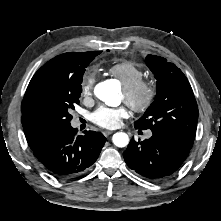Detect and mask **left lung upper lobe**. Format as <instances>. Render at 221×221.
I'll list each match as a JSON object with an SVG mask.
<instances>
[{
    "label": "left lung upper lobe",
    "instance_id": "obj_1",
    "mask_svg": "<svg viewBox=\"0 0 221 221\" xmlns=\"http://www.w3.org/2000/svg\"><path fill=\"white\" fill-rule=\"evenodd\" d=\"M146 63L157 80L154 102L134 126L150 129L191 149L196 135L198 107L183 72L163 57L148 55Z\"/></svg>",
    "mask_w": 221,
    "mask_h": 221
}]
</instances>
